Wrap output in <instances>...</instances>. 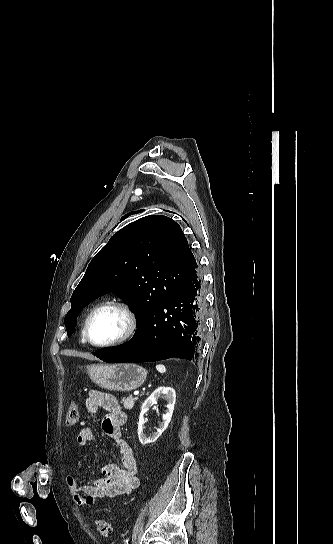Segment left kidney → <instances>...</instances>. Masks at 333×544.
I'll use <instances>...</instances> for the list:
<instances>
[{
    "instance_id": "obj_1",
    "label": "left kidney",
    "mask_w": 333,
    "mask_h": 544,
    "mask_svg": "<svg viewBox=\"0 0 333 544\" xmlns=\"http://www.w3.org/2000/svg\"><path fill=\"white\" fill-rule=\"evenodd\" d=\"M159 398H165L167 400V410L162 416V422L160 423L159 428L152 435L148 436L145 432H143L144 424L146 422L144 415L148 412L150 407L157 404V400ZM175 401V390L170 387H159L144 401L141 407V413L138 422V438L141 444L146 445L148 443L155 442L166 430L172 418Z\"/></svg>"
}]
</instances>
